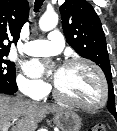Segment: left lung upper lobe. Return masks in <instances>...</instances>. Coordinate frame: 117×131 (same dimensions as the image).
I'll use <instances>...</instances> for the list:
<instances>
[{"instance_id": "1", "label": "left lung upper lobe", "mask_w": 117, "mask_h": 131, "mask_svg": "<svg viewBox=\"0 0 117 131\" xmlns=\"http://www.w3.org/2000/svg\"><path fill=\"white\" fill-rule=\"evenodd\" d=\"M60 13L68 44L82 57L97 63L104 71L109 87L107 108L117 120L106 39L98 15L85 0H66L60 6Z\"/></svg>"}]
</instances>
